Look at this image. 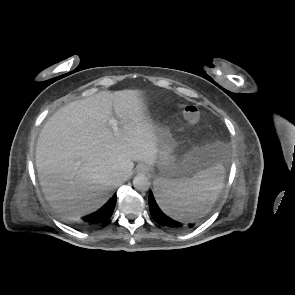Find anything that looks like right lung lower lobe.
<instances>
[{"instance_id":"right-lung-lower-lobe-1","label":"right lung lower lobe","mask_w":295,"mask_h":295,"mask_svg":"<svg viewBox=\"0 0 295 295\" xmlns=\"http://www.w3.org/2000/svg\"><path fill=\"white\" fill-rule=\"evenodd\" d=\"M116 204V195H114L109 202L98 211L82 218V223L87 227L96 226L105 223L111 216Z\"/></svg>"}]
</instances>
